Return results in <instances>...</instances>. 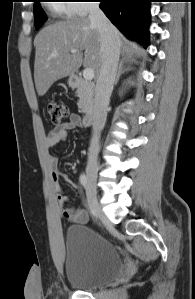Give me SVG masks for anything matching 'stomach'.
I'll list each match as a JSON object with an SVG mask.
<instances>
[{
	"label": "stomach",
	"instance_id": "obj_1",
	"mask_svg": "<svg viewBox=\"0 0 195 299\" xmlns=\"http://www.w3.org/2000/svg\"><path fill=\"white\" fill-rule=\"evenodd\" d=\"M69 84L72 85V81H71V79H69Z\"/></svg>",
	"mask_w": 195,
	"mask_h": 299
}]
</instances>
